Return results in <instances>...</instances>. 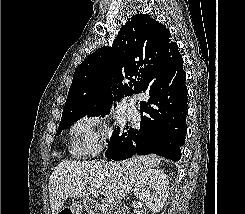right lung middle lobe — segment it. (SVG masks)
<instances>
[{
    "label": "right lung middle lobe",
    "mask_w": 245,
    "mask_h": 214,
    "mask_svg": "<svg viewBox=\"0 0 245 214\" xmlns=\"http://www.w3.org/2000/svg\"><path fill=\"white\" fill-rule=\"evenodd\" d=\"M107 111H109V109H104V110H91V111H82V112H76V113H70V114H63L62 118H61V122L57 131V135H60V133L70 127L74 122H76L77 120H79L81 117H84L86 115H88L89 117H95V116H104L105 114H107ZM123 136H121V134L119 133V130H115L113 132V135L111 136V140L109 143V147L116 145L117 143H119L122 140Z\"/></svg>",
    "instance_id": "dd1d6c3e"
}]
</instances>
